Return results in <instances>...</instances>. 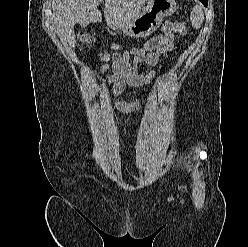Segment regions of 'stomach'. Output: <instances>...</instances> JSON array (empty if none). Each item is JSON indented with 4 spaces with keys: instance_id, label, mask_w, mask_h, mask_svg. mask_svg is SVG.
Returning <instances> with one entry per match:
<instances>
[{
    "instance_id": "1",
    "label": "stomach",
    "mask_w": 248,
    "mask_h": 247,
    "mask_svg": "<svg viewBox=\"0 0 248 247\" xmlns=\"http://www.w3.org/2000/svg\"><path fill=\"white\" fill-rule=\"evenodd\" d=\"M176 8L175 0H148L146 7L141 9L138 16L121 30L129 37L149 36L161 25L164 17L172 15Z\"/></svg>"
}]
</instances>
